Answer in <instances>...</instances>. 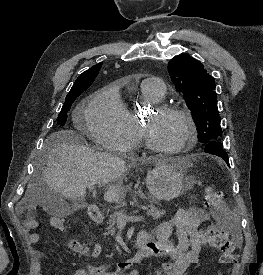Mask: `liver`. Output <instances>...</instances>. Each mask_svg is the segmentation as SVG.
I'll return each mask as SVG.
<instances>
[{
  "mask_svg": "<svg viewBox=\"0 0 263 275\" xmlns=\"http://www.w3.org/2000/svg\"><path fill=\"white\" fill-rule=\"evenodd\" d=\"M82 137L72 130L54 133L47 142L51 145L48 152L43 180L50 190L57 191L62 197L74 200L86 194L89 184L106 186L104 200L118 202L125 197L119 184H115L127 171L123 159L108 153L95 152L84 146ZM178 164H186L179 159ZM38 195L29 185L21 204L34 206Z\"/></svg>",
  "mask_w": 263,
  "mask_h": 275,
  "instance_id": "6515ba94",
  "label": "liver"
}]
</instances>
